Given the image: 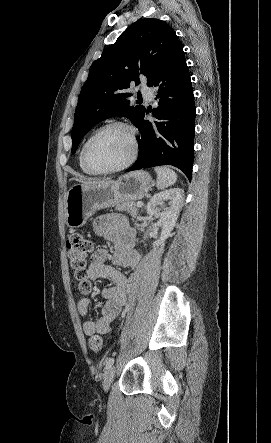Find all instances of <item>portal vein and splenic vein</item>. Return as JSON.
Listing matches in <instances>:
<instances>
[{
	"label": "portal vein and splenic vein",
	"mask_w": 271,
	"mask_h": 443,
	"mask_svg": "<svg viewBox=\"0 0 271 443\" xmlns=\"http://www.w3.org/2000/svg\"><path fill=\"white\" fill-rule=\"evenodd\" d=\"M136 206H137V208H142L143 204H142V202H137Z\"/></svg>",
	"instance_id": "portal-vein-and-splenic-vein-1"
}]
</instances>
